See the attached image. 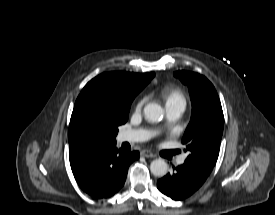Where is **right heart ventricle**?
<instances>
[{"label":"right heart ventricle","instance_id":"right-heart-ventricle-1","mask_svg":"<svg viewBox=\"0 0 275 215\" xmlns=\"http://www.w3.org/2000/svg\"><path fill=\"white\" fill-rule=\"evenodd\" d=\"M166 107L175 104H186L183 92L178 88H167L161 92Z\"/></svg>","mask_w":275,"mask_h":215}]
</instances>
